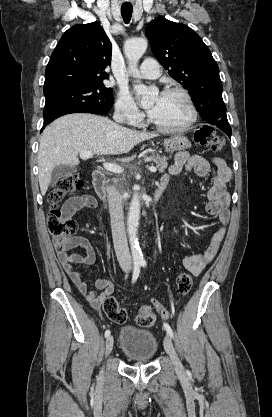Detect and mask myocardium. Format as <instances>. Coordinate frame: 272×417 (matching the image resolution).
I'll use <instances>...</instances> for the list:
<instances>
[{"instance_id":"f54148a6","label":"myocardium","mask_w":272,"mask_h":417,"mask_svg":"<svg viewBox=\"0 0 272 417\" xmlns=\"http://www.w3.org/2000/svg\"><path fill=\"white\" fill-rule=\"evenodd\" d=\"M180 95L184 98V100L186 101L189 111H190V116L189 119L187 120L186 123H184L181 126H177V127H166V126H162L158 123H156L151 116L148 118V122L158 131L163 132V133H169V134H174V133H182V132H186L188 131L196 122L197 117H198V110L196 107V104L192 98V96L190 95V93L180 87H171V88H167L162 92V95Z\"/></svg>"}]
</instances>
